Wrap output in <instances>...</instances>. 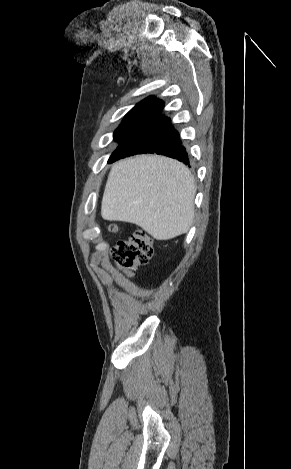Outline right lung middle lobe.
<instances>
[{
	"instance_id": "dd1d6c3e",
	"label": "right lung middle lobe",
	"mask_w": 291,
	"mask_h": 469,
	"mask_svg": "<svg viewBox=\"0 0 291 469\" xmlns=\"http://www.w3.org/2000/svg\"><path fill=\"white\" fill-rule=\"evenodd\" d=\"M152 118V116L145 114H126L122 123L114 132V139L121 144Z\"/></svg>"
}]
</instances>
